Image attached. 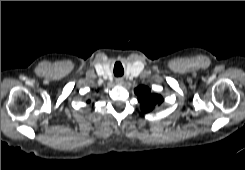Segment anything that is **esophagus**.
<instances>
[{
  "instance_id": "1",
  "label": "esophagus",
  "mask_w": 245,
  "mask_h": 170,
  "mask_svg": "<svg viewBox=\"0 0 245 170\" xmlns=\"http://www.w3.org/2000/svg\"><path fill=\"white\" fill-rule=\"evenodd\" d=\"M123 83H124L123 78H117V79H116V84H117V85H120V86H121V85H123Z\"/></svg>"
}]
</instances>
